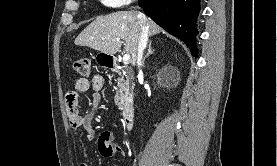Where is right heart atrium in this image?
<instances>
[{
    "mask_svg": "<svg viewBox=\"0 0 277 166\" xmlns=\"http://www.w3.org/2000/svg\"><path fill=\"white\" fill-rule=\"evenodd\" d=\"M100 3L110 8H120L130 4L134 0H99Z\"/></svg>",
    "mask_w": 277,
    "mask_h": 166,
    "instance_id": "right-heart-atrium-1",
    "label": "right heart atrium"
}]
</instances>
